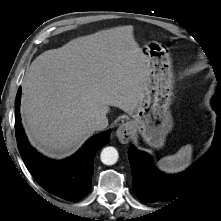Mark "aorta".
I'll use <instances>...</instances> for the list:
<instances>
[{"mask_svg":"<svg viewBox=\"0 0 221 221\" xmlns=\"http://www.w3.org/2000/svg\"><path fill=\"white\" fill-rule=\"evenodd\" d=\"M100 159L105 165H113L118 160V151L114 147H105L101 154Z\"/></svg>","mask_w":221,"mask_h":221,"instance_id":"762f6f07","label":"aorta"}]
</instances>
